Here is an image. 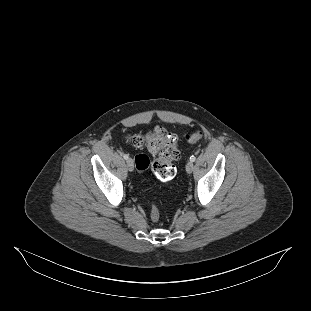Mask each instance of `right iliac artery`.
Listing matches in <instances>:
<instances>
[{"label": "right iliac artery", "instance_id": "1", "mask_svg": "<svg viewBox=\"0 0 311 311\" xmlns=\"http://www.w3.org/2000/svg\"><path fill=\"white\" fill-rule=\"evenodd\" d=\"M123 158L127 160L129 158V156L127 154H124Z\"/></svg>", "mask_w": 311, "mask_h": 311}]
</instances>
